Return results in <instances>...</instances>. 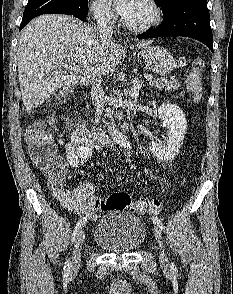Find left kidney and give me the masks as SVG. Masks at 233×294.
<instances>
[{"mask_svg": "<svg viewBox=\"0 0 233 294\" xmlns=\"http://www.w3.org/2000/svg\"><path fill=\"white\" fill-rule=\"evenodd\" d=\"M162 126L167 128V136L164 141L152 139L150 150L160 160L174 159L183 144L187 129V122L183 111L175 104H163L158 108Z\"/></svg>", "mask_w": 233, "mask_h": 294, "instance_id": "obj_1", "label": "left kidney"}]
</instances>
